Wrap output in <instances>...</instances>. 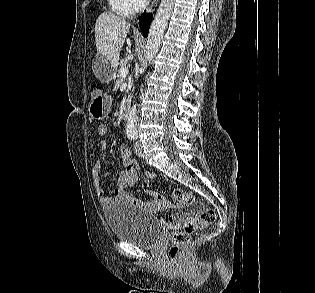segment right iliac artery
Masks as SVG:
<instances>
[{"label":"right iliac artery","instance_id":"obj_1","mask_svg":"<svg viewBox=\"0 0 315 293\" xmlns=\"http://www.w3.org/2000/svg\"><path fill=\"white\" fill-rule=\"evenodd\" d=\"M130 135H131L130 133H129V134H127L128 138H130Z\"/></svg>","mask_w":315,"mask_h":293}]
</instances>
